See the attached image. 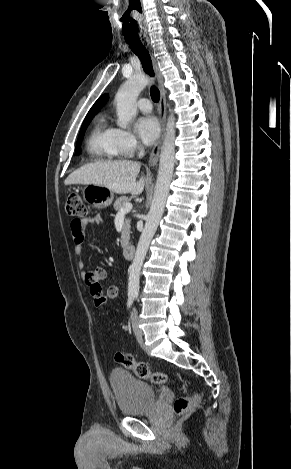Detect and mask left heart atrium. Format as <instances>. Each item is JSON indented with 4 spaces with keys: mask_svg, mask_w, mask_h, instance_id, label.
<instances>
[{
    "mask_svg": "<svg viewBox=\"0 0 291 469\" xmlns=\"http://www.w3.org/2000/svg\"><path fill=\"white\" fill-rule=\"evenodd\" d=\"M136 131L142 141L150 145L159 136L160 127L158 120L152 115L140 117L135 124Z\"/></svg>",
    "mask_w": 291,
    "mask_h": 469,
    "instance_id": "obj_1",
    "label": "left heart atrium"
}]
</instances>
